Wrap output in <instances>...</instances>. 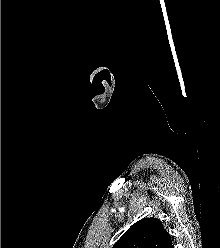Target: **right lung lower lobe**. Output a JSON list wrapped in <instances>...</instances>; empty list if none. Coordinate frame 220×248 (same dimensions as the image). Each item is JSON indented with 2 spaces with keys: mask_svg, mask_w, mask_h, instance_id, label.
<instances>
[{
  "mask_svg": "<svg viewBox=\"0 0 220 248\" xmlns=\"http://www.w3.org/2000/svg\"><path fill=\"white\" fill-rule=\"evenodd\" d=\"M170 248H173V245L172 244L170 245Z\"/></svg>",
  "mask_w": 220,
  "mask_h": 248,
  "instance_id": "obj_1",
  "label": "right lung lower lobe"
}]
</instances>
